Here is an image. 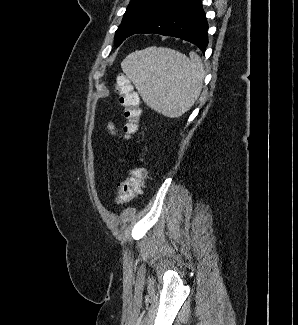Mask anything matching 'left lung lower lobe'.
<instances>
[{
  "label": "left lung lower lobe",
  "instance_id": "1",
  "mask_svg": "<svg viewBox=\"0 0 298 325\" xmlns=\"http://www.w3.org/2000/svg\"><path fill=\"white\" fill-rule=\"evenodd\" d=\"M207 20L201 0H162L130 32L156 33L189 41L205 53Z\"/></svg>",
  "mask_w": 298,
  "mask_h": 325
}]
</instances>
